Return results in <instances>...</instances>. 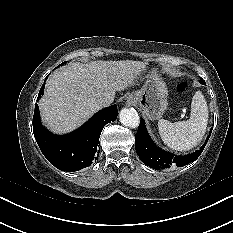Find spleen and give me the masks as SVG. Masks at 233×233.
I'll return each mask as SVG.
<instances>
[{
	"instance_id": "3e777b00",
	"label": "spleen",
	"mask_w": 233,
	"mask_h": 233,
	"mask_svg": "<svg viewBox=\"0 0 233 233\" xmlns=\"http://www.w3.org/2000/svg\"><path fill=\"white\" fill-rule=\"evenodd\" d=\"M208 123V106L202 92L192 98L190 118L186 121L170 122L160 119L159 134L163 142L173 150L187 151L196 147L203 139Z\"/></svg>"
}]
</instances>
